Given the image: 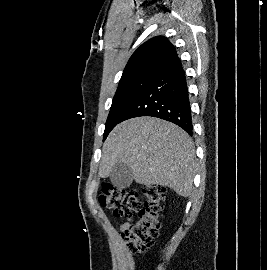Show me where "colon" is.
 Wrapping results in <instances>:
<instances>
[{
	"label": "colon",
	"instance_id": "colon-1",
	"mask_svg": "<svg viewBox=\"0 0 267 270\" xmlns=\"http://www.w3.org/2000/svg\"><path fill=\"white\" fill-rule=\"evenodd\" d=\"M166 191L161 186L149 185L142 189L126 190L104 183L99 195L100 204L116 216L138 213L137 220L129 222L122 230L123 241L132 256L150 249L161 227Z\"/></svg>",
	"mask_w": 267,
	"mask_h": 270
}]
</instances>
